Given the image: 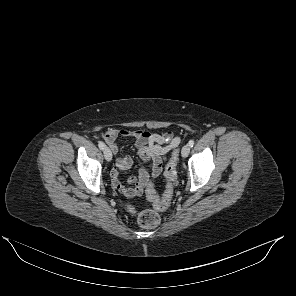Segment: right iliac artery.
<instances>
[{"instance_id":"82829eb1","label":"right iliac artery","mask_w":296,"mask_h":296,"mask_svg":"<svg viewBox=\"0 0 296 296\" xmlns=\"http://www.w3.org/2000/svg\"><path fill=\"white\" fill-rule=\"evenodd\" d=\"M98 146L101 150H104V148H105V144L103 142H99Z\"/></svg>"}]
</instances>
